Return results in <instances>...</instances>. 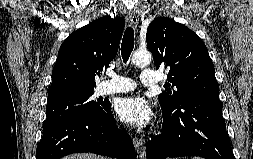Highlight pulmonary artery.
<instances>
[{"label":"pulmonary artery","instance_id":"pulmonary-artery-1","mask_svg":"<svg viewBox=\"0 0 253 159\" xmlns=\"http://www.w3.org/2000/svg\"><path fill=\"white\" fill-rule=\"evenodd\" d=\"M105 77L109 78L102 82L99 86V93L101 95H108L114 93H124L132 91L136 88V83L127 77L121 76L115 72H106ZM160 75L149 69H143L141 72V82L144 85L152 86L158 84Z\"/></svg>","mask_w":253,"mask_h":159}]
</instances>
